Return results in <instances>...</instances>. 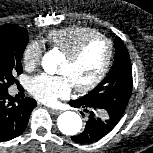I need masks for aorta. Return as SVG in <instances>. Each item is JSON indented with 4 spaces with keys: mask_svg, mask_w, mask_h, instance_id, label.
Segmentation results:
<instances>
[{
    "mask_svg": "<svg viewBox=\"0 0 153 153\" xmlns=\"http://www.w3.org/2000/svg\"><path fill=\"white\" fill-rule=\"evenodd\" d=\"M42 67L48 74H55L58 67V60L53 51H50L42 58ZM59 130L65 135H76L82 129L81 117L72 111L62 113L57 120Z\"/></svg>",
    "mask_w": 153,
    "mask_h": 153,
    "instance_id": "aorta-1",
    "label": "aorta"
}]
</instances>
